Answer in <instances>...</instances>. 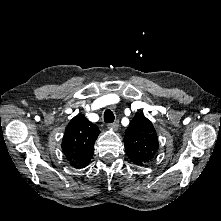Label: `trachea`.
I'll return each mask as SVG.
<instances>
[{
    "label": "trachea",
    "mask_w": 221,
    "mask_h": 221,
    "mask_svg": "<svg viewBox=\"0 0 221 221\" xmlns=\"http://www.w3.org/2000/svg\"><path fill=\"white\" fill-rule=\"evenodd\" d=\"M114 119H115V116H114L113 112L111 110L107 109L104 112V121L106 123H112V122H114Z\"/></svg>",
    "instance_id": "3493384b"
}]
</instances>
